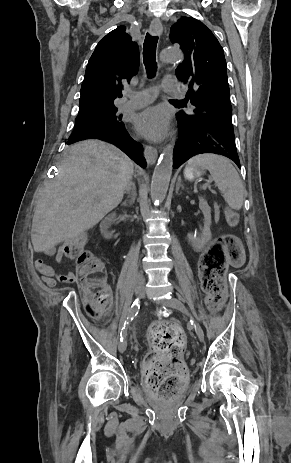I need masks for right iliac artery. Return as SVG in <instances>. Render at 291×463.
Segmentation results:
<instances>
[{
	"label": "right iliac artery",
	"mask_w": 291,
	"mask_h": 463,
	"mask_svg": "<svg viewBox=\"0 0 291 463\" xmlns=\"http://www.w3.org/2000/svg\"><path fill=\"white\" fill-rule=\"evenodd\" d=\"M139 309H140V302L138 299H136L131 306L127 320L125 321L122 331L120 333V341H123V339L126 337L127 326L134 319V317L138 314Z\"/></svg>",
	"instance_id": "82829eb1"
}]
</instances>
